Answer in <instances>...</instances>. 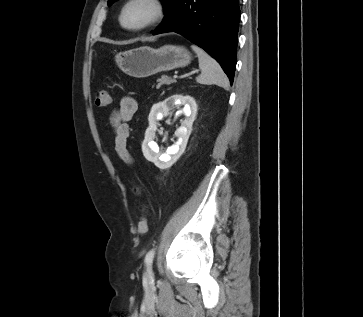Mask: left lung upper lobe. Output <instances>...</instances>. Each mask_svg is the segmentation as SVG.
I'll return each instance as SVG.
<instances>
[{"instance_id": "5c2ea615", "label": "left lung upper lobe", "mask_w": 363, "mask_h": 317, "mask_svg": "<svg viewBox=\"0 0 363 317\" xmlns=\"http://www.w3.org/2000/svg\"><path fill=\"white\" fill-rule=\"evenodd\" d=\"M114 1H116V0H108V4H111ZM161 1H162L163 5H164V8H166L172 0H161Z\"/></svg>"}]
</instances>
